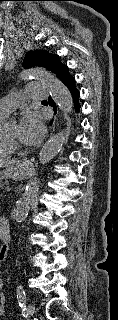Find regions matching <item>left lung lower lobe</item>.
Instances as JSON below:
<instances>
[{"mask_svg":"<svg viewBox=\"0 0 118 320\" xmlns=\"http://www.w3.org/2000/svg\"><path fill=\"white\" fill-rule=\"evenodd\" d=\"M62 82H63V84H65L67 87H68V89L70 90V93H71V95H72V97H73V100H74V107H75V109L77 110V111H79V108H80V104H79V102H78V99H79V91L76 89V87H75V79L69 74V72L67 71L66 73H65V75L60 79ZM49 104L51 105V106H53L54 107V109H55V103L52 101V100H50V102H49Z\"/></svg>","mask_w":118,"mask_h":320,"instance_id":"left-lung-lower-lobe-1","label":"left lung lower lobe"}]
</instances>
